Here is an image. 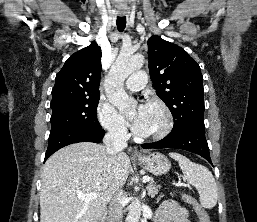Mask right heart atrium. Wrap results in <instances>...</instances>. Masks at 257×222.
Instances as JSON below:
<instances>
[{
  "label": "right heart atrium",
  "mask_w": 257,
  "mask_h": 222,
  "mask_svg": "<svg viewBox=\"0 0 257 222\" xmlns=\"http://www.w3.org/2000/svg\"><path fill=\"white\" fill-rule=\"evenodd\" d=\"M96 113L100 125L111 136L118 139L128 137V130L123 119L111 104L104 100L99 101Z\"/></svg>",
  "instance_id": "obj_1"
}]
</instances>
